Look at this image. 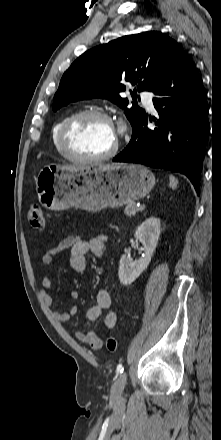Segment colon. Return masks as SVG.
<instances>
[{"instance_id":"obj_1","label":"colon","mask_w":221,"mask_h":440,"mask_svg":"<svg viewBox=\"0 0 221 440\" xmlns=\"http://www.w3.org/2000/svg\"><path fill=\"white\" fill-rule=\"evenodd\" d=\"M30 225L35 229H44L45 228V218L42 212V209L38 205L31 206L28 214ZM105 347L110 352H115L118 350L119 343L118 340L112 336H109L105 340Z\"/></svg>"}]
</instances>
